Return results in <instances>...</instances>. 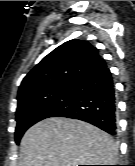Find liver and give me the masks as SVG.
<instances>
[{"label": "liver", "instance_id": "liver-1", "mask_svg": "<svg viewBox=\"0 0 135 166\" xmlns=\"http://www.w3.org/2000/svg\"><path fill=\"white\" fill-rule=\"evenodd\" d=\"M19 166L112 165L117 146L112 137L81 120L51 117L24 134Z\"/></svg>", "mask_w": 135, "mask_h": 166}]
</instances>
